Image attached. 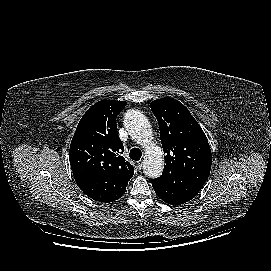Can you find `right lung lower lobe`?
I'll return each instance as SVG.
<instances>
[{"mask_svg": "<svg viewBox=\"0 0 271 271\" xmlns=\"http://www.w3.org/2000/svg\"><path fill=\"white\" fill-rule=\"evenodd\" d=\"M74 178L87 196L105 203L119 199L125 193L127 185L120 180L91 173H76Z\"/></svg>", "mask_w": 271, "mask_h": 271, "instance_id": "right-lung-lower-lobe-1", "label": "right lung lower lobe"}]
</instances>
